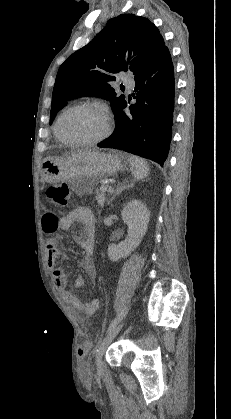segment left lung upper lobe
I'll list each match as a JSON object with an SVG mask.
<instances>
[{"mask_svg":"<svg viewBox=\"0 0 231 419\" xmlns=\"http://www.w3.org/2000/svg\"><path fill=\"white\" fill-rule=\"evenodd\" d=\"M128 51L129 57L125 60ZM168 48L149 19L121 14L60 66L52 94L50 124L67 101L78 96H98L111 101L114 113L124 103L109 85L112 74L130 71L134 78L145 72ZM137 55L130 61V55Z\"/></svg>","mask_w":231,"mask_h":419,"instance_id":"left-lung-upper-lobe-1","label":"left lung upper lobe"}]
</instances>
